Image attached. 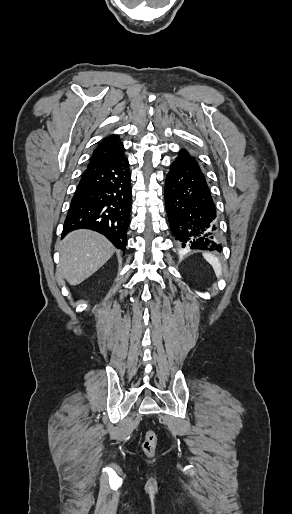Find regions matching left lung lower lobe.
Here are the masks:
<instances>
[{
    "label": "left lung lower lobe",
    "instance_id": "1",
    "mask_svg": "<svg viewBox=\"0 0 292 514\" xmlns=\"http://www.w3.org/2000/svg\"><path fill=\"white\" fill-rule=\"evenodd\" d=\"M164 194L170 229L179 246L220 252L215 204L198 159L186 149L170 165Z\"/></svg>",
    "mask_w": 292,
    "mask_h": 514
}]
</instances>
